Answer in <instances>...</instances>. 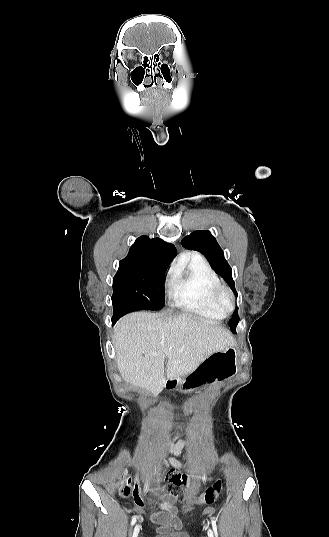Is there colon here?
Masks as SVG:
<instances>
[{
    "label": "colon",
    "mask_w": 329,
    "mask_h": 537,
    "mask_svg": "<svg viewBox=\"0 0 329 537\" xmlns=\"http://www.w3.org/2000/svg\"><path fill=\"white\" fill-rule=\"evenodd\" d=\"M222 488V482L216 481L212 486L208 487L193 503V505L210 504L219 495ZM119 492L123 496H129L130 494L141 495L139 487L133 486L129 477H124L119 485ZM189 508L187 507L186 510Z\"/></svg>",
    "instance_id": "obj_1"
}]
</instances>
